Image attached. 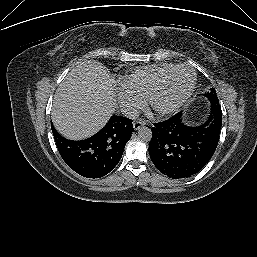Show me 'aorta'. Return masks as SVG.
<instances>
[{
	"mask_svg": "<svg viewBox=\"0 0 257 257\" xmlns=\"http://www.w3.org/2000/svg\"><path fill=\"white\" fill-rule=\"evenodd\" d=\"M152 135V131L148 127L143 126L138 129V136L143 141H150L152 139Z\"/></svg>",
	"mask_w": 257,
	"mask_h": 257,
	"instance_id": "aorta-1",
	"label": "aorta"
}]
</instances>
